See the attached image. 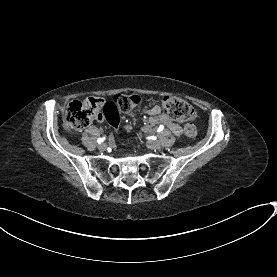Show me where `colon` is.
Instances as JSON below:
<instances>
[{
	"instance_id": "5ec220e1",
	"label": "colon",
	"mask_w": 277,
	"mask_h": 277,
	"mask_svg": "<svg viewBox=\"0 0 277 277\" xmlns=\"http://www.w3.org/2000/svg\"><path fill=\"white\" fill-rule=\"evenodd\" d=\"M117 100L118 109L127 112L134 108L138 103L133 95L119 94L114 97ZM164 111L171 117L185 121L184 135L189 139H195L197 136L196 127L191 124L196 114L194 108L184 99L176 96H165L162 99ZM104 108V101L99 94H92L90 100L85 103L73 101L66 112V122L68 128L73 131H79L87 127L93 120L104 119L101 110Z\"/></svg>"
}]
</instances>
